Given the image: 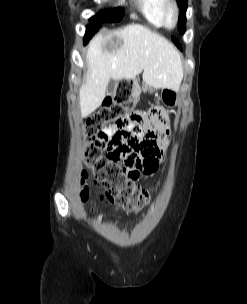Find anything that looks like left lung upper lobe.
Here are the masks:
<instances>
[{
    "label": "left lung upper lobe",
    "mask_w": 247,
    "mask_h": 304,
    "mask_svg": "<svg viewBox=\"0 0 247 304\" xmlns=\"http://www.w3.org/2000/svg\"><path fill=\"white\" fill-rule=\"evenodd\" d=\"M177 2L181 8L178 20V29L183 34L186 30V10L188 0H177Z\"/></svg>",
    "instance_id": "1"
}]
</instances>
